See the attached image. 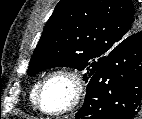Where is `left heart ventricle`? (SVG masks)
Instances as JSON below:
<instances>
[{"instance_id":"left-heart-ventricle-1","label":"left heart ventricle","mask_w":142,"mask_h":119,"mask_svg":"<svg viewBox=\"0 0 142 119\" xmlns=\"http://www.w3.org/2000/svg\"><path fill=\"white\" fill-rule=\"evenodd\" d=\"M71 82L63 77L54 78L46 85L42 95V106L47 110L64 108L71 100Z\"/></svg>"}]
</instances>
